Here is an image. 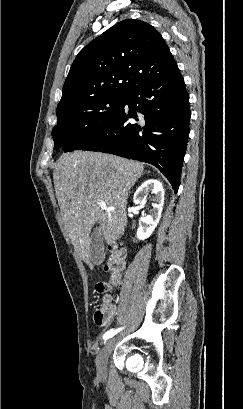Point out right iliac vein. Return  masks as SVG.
<instances>
[{
    "instance_id": "right-iliac-vein-1",
    "label": "right iliac vein",
    "mask_w": 243,
    "mask_h": 409,
    "mask_svg": "<svg viewBox=\"0 0 243 409\" xmlns=\"http://www.w3.org/2000/svg\"><path fill=\"white\" fill-rule=\"evenodd\" d=\"M114 345V339L105 342L103 348L99 352L96 359L97 374L100 378H104L107 370L108 357Z\"/></svg>"
}]
</instances>
